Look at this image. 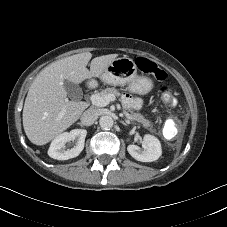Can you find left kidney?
I'll return each instance as SVG.
<instances>
[{"instance_id":"5707ae66","label":"left kidney","mask_w":227,"mask_h":227,"mask_svg":"<svg viewBox=\"0 0 227 227\" xmlns=\"http://www.w3.org/2000/svg\"><path fill=\"white\" fill-rule=\"evenodd\" d=\"M142 148L130 144L127 147L128 153L136 160L141 162H153L162 154L161 143L155 136L146 134L143 137Z\"/></svg>"}]
</instances>
